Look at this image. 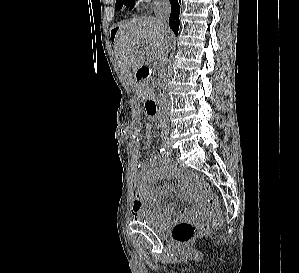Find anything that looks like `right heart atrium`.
<instances>
[{
	"label": "right heart atrium",
	"mask_w": 299,
	"mask_h": 273,
	"mask_svg": "<svg viewBox=\"0 0 299 273\" xmlns=\"http://www.w3.org/2000/svg\"><path fill=\"white\" fill-rule=\"evenodd\" d=\"M160 1H162V0H139L141 5L145 6V7L153 6V5L157 4Z\"/></svg>",
	"instance_id": "1"
}]
</instances>
